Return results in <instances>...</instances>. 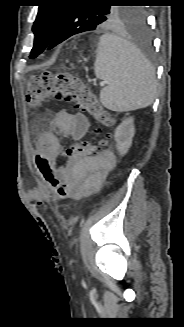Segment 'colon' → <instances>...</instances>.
<instances>
[{
  "instance_id": "obj_1",
  "label": "colon",
  "mask_w": 184,
  "mask_h": 327,
  "mask_svg": "<svg viewBox=\"0 0 184 327\" xmlns=\"http://www.w3.org/2000/svg\"><path fill=\"white\" fill-rule=\"evenodd\" d=\"M53 98L74 103L76 109L90 114L101 125L94 130V134L98 136L96 140L83 141L68 149L77 151L83 156H91L103 151L110 136L103 127L111 126L114 120L111 113L99 103L91 89L79 77L67 72L45 71L29 81L26 101L30 106H40ZM62 165L60 159L50 160L39 157L37 160L41 174L55 191L57 197L60 200L74 199L59 178Z\"/></svg>"
}]
</instances>
